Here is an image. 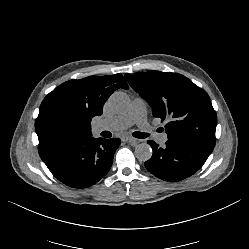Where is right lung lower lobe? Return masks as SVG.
I'll use <instances>...</instances> for the list:
<instances>
[{"instance_id": "98d812e1", "label": "right lung lower lobe", "mask_w": 249, "mask_h": 249, "mask_svg": "<svg viewBox=\"0 0 249 249\" xmlns=\"http://www.w3.org/2000/svg\"><path fill=\"white\" fill-rule=\"evenodd\" d=\"M120 139L86 137L71 141L42 158L51 173L64 184L86 188L110 170Z\"/></svg>"}]
</instances>
